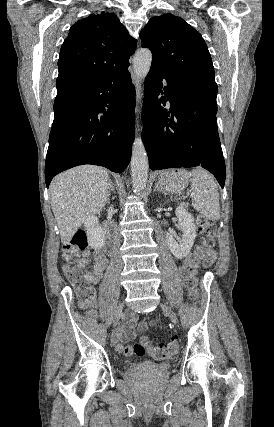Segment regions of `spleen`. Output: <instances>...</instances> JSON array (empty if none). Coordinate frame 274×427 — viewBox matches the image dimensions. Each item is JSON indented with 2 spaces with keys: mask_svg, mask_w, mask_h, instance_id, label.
<instances>
[{
  "mask_svg": "<svg viewBox=\"0 0 274 427\" xmlns=\"http://www.w3.org/2000/svg\"><path fill=\"white\" fill-rule=\"evenodd\" d=\"M192 176L191 198L194 210L204 215L206 219H219V194L213 176L196 168L190 172Z\"/></svg>",
  "mask_w": 274,
  "mask_h": 427,
  "instance_id": "obj_1",
  "label": "spleen"
}]
</instances>
